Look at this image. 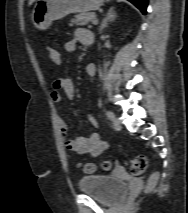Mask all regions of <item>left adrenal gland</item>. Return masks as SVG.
Wrapping results in <instances>:
<instances>
[{
	"mask_svg": "<svg viewBox=\"0 0 188 213\" xmlns=\"http://www.w3.org/2000/svg\"><path fill=\"white\" fill-rule=\"evenodd\" d=\"M115 18H116V14L114 12V8L112 7L108 10L106 17L103 19V21L99 27L100 33H102V30L107 26L108 22L113 21Z\"/></svg>",
	"mask_w": 188,
	"mask_h": 213,
	"instance_id": "1",
	"label": "left adrenal gland"
}]
</instances>
